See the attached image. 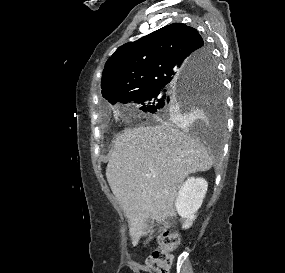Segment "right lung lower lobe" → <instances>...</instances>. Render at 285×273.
Listing matches in <instances>:
<instances>
[{
  "label": "right lung lower lobe",
  "mask_w": 285,
  "mask_h": 273,
  "mask_svg": "<svg viewBox=\"0 0 285 273\" xmlns=\"http://www.w3.org/2000/svg\"><path fill=\"white\" fill-rule=\"evenodd\" d=\"M207 65L206 61H203L200 66L197 68L198 71H201L205 66ZM180 86L182 85H188V76L184 77L181 81L178 83Z\"/></svg>",
  "instance_id": "obj_1"
}]
</instances>
